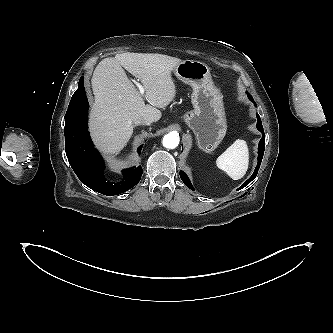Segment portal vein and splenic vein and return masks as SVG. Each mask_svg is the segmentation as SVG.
Masks as SVG:
<instances>
[{
    "label": "portal vein and splenic vein",
    "mask_w": 333,
    "mask_h": 333,
    "mask_svg": "<svg viewBox=\"0 0 333 333\" xmlns=\"http://www.w3.org/2000/svg\"><path fill=\"white\" fill-rule=\"evenodd\" d=\"M135 84L139 88L140 94L143 96L144 93H145V88L139 82H137V81H135Z\"/></svg>",
    "instance_id": "portal-vein-and-splenic-vein-1"
}]
</instances>
